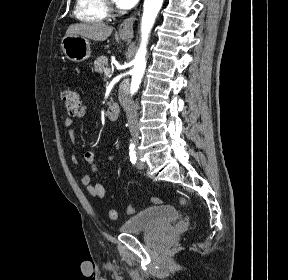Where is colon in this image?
Here are the masks:
<instances>
[{"label":"colon","instance_id":"obj_1","mask_svg":"<svg viewBox=\"0 0 288 280\" xmlns=\"http://www.w3.org/2000/svg\"><path fill=\"white\" fill-rule=\"evenodd\" d=\"M61 101L62 104L65 106L67 109L68 113L71 115H76L77 112L80 109L81 101L78 93L71 89L67 88L65 89L62 94H61ZM150 202L154 205H159L162 203V199L158 196L151 198ZM178 202L180 205L189 207V208H194V203L183 196L178 197ZM136 212V207L132 204L128 205L127 207V213L128 214H134ZM109 218L111 220H116L118 218V212L114 209L109 211Z\"/></svg>","mask_w":288,"mask_h":280}]
</instances>
